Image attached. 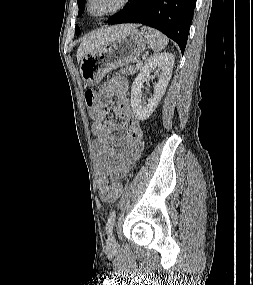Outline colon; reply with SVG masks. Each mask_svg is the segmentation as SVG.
Here are the masks:
<instances>
[{"mask_svg":"<svg viewBox=\"0 0 253 285\" xmlns=\"http://www.w3.org/2000/svg\"><path fill=\"white\" fill-rule=\"evenodd\" d=\"M84 97L87 106L91 108L96 102V92L93 89L89 88L86 90ZM113 189L116 193L121 194L123 190V184L121 182H116L113 184Z\"/></svg>","mask_w":253,"mask_h":285,"instance_id":"5ec220e1","label":"colon"}]
</instances>
